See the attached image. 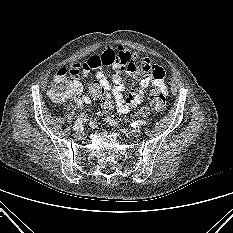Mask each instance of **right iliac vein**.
Here are the masks:
<instances>
[{
    "mask_svg": "<svg viewBox=\"0 0 233 233\" xmlns=\"http://www.w3.org/2000/svg\"><path fill=\"white\" fill-rule=\"evenodd\" d=\"M78 139H83L84 138V132L83 131H78L76 132L75 135Z\"/></svg>",
    "mask_w": 233,
    "mask_h": 233,
    "instance_id": "63e3f726",
    "label": "right iliac vein"
}]
</instances>
